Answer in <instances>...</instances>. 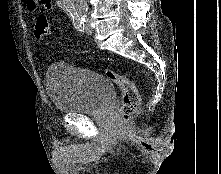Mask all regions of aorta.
Segmentation results:
<instances>
[{"label": "aorta", "mask_w": 221, "mask_h": 174, "mask_svg": "<svg viewBox=\"0 0 221 174\" xmlns=\"http://www.w3.org/2000/svg\"><path fill=\"white\" fill-rule=\"evenodd\" d=\"M64 10L73 19H83L88 9L87 0H62Z\"/></svg>", "instance_id": "1"}]
</instances>
